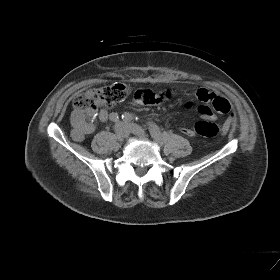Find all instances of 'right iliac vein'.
I'll use <instances>...</instances> for the list:
<instances>
[{
  "label": "right iliac vein",
  "instance_id": "1",
  "mask_svg": "<svg viewBox=\"0 0 280 280\" xmlns=\"http://www.w3.org/2000/svg\"><path fill=\"white\" fill-rule=\"evenodd\" d=\"M129 132H130V129L128 128L127 125H120L119 128H118V133L120 134V136L126 138L129 136Z\"/></svg>",
  "mask_w": 280,
  "mask_h": 280
}]
</instances>
